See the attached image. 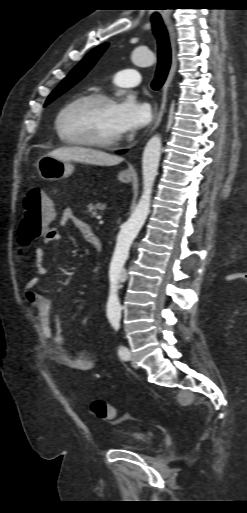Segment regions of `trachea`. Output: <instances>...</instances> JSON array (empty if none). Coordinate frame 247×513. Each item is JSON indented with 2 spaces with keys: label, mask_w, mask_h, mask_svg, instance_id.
Instances as JSON below:
<instances>
[{
  "label": "trachea",
  "mask_w": 247,
  "mask_h": 513,
  "mask_svg": "<svg viewBox=\"0 0 247 513\" xmlns=\"http://www.w3.org/2000/svg\"><path fill=\"white\" fill-rule=\"evenodd\" d=\"M152 26L157 38L158 63L151 87L153 90H158L164 84L171 66V47L163 21L153 17Z\"/></svg>",
  "instance_id": "obj_1"
}]
</instances>
